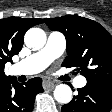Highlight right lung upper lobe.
<instances>
[{
  "label": "right lung upper lobe",
  "instance_id": "right-lung-upper-lobe-1",
  "mask_svg": "<svg viewBox=\"0 0 112 112\" xmlns=\"http://www.w3.org/2000/svg\"><path fill=\"white\" fill-rule=\"evenodd\" d=\"M42 22V19L20 17L0 19V88L10 80L4 73V66L22 49L25 32Z\"/></svg>",
  "mask_w": 112,
  "mask_h": 112
}]
</instances>
